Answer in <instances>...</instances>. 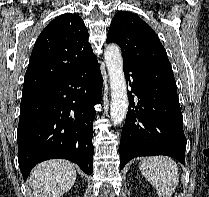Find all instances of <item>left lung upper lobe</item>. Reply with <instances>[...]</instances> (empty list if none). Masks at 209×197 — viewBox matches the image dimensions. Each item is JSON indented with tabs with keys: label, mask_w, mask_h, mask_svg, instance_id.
<instances>
[{
	"label": "left lung upper lobe",
	"mask_w": 209,
	"mask_h": 197,
	"mask_svg": "<svg viewBox=\"0 0 209 197\" xmlns=\"http://www.w3.org/2000/svg\"><path fill=\"white\" fill-rule=\"evenodd\" d=\"M106 42H115L121 47L124 64L153 77L174 78L158 36L137 15L118 12L112 19Z\"/></svg>",
	"instance_id": "left-lung-upper-lobe-1"
}]
</instances>
